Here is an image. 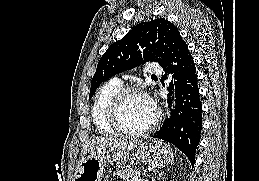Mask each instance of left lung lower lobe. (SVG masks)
Masks as SVG:
<instances>
[{
	"label": "left lung lower lobe",
	"mask_w": 259,
	"mask_h": 181,
	"mask_svg": "<svg viewBox=\"0 0 259 181\" xmlns=\"http://www.w3.org/2000/svg\"><path fill=\"white\" fill-rule=\"evenodd\" d=\"M166 72L174 73L175 109L171 110L170 119L166 120L153 137L175 145L195 163L196 148L202 129V104L197 84V74L193 58L182 37L173 45L169 56L162 65ZM173 82L168 90L173 93ZM171 103V99H168Z\"/></svg>",
	"instance_id": "1"
}]
</instances>
